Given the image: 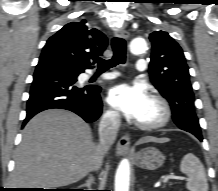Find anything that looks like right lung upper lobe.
<instances>
[{
  "mask_svg": "<svg viewBox=\"0 0 218 191\" xmlns=\"http://www.w3.org/2000/svg\"><path fill=\"white\" fill-rule=\"evenodd\" d=\"M108 43L106 36L97 29H91L86 21L71 22L50 37L42 50V56L58 58L84 71L91 68L101 56Z\"/></svg>",
  "mask_w": 218,
  "mask_h": 191,
  "instance_id": "right-lung-upper-lobe-1",
  "label": "right lung upper lobe"
}]
</instances>
